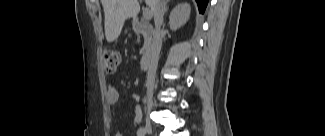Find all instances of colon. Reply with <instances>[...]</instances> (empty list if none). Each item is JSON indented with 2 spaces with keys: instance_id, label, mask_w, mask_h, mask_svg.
I'll return each mask as SVG.
<instances>
[{
  "instance_id": "1",
  "label": "colon",
  "mask_w": 325,
  "mask_h": 136,
  "mask_svg": "<svg viewBox=\"0 0 325 136\" xmlns=\"http://www.w3.org/2000/svg\"><path fill=\"white\" fill-rule=\"evenodd\" d=\"M121 56L118 51L112 48H106L103 51V65L104 70L108 74L116 72L120 64Z\"/></svg>"
}]
</instances>
